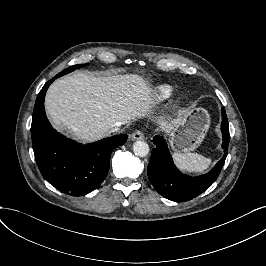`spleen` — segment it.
Returning a JSON list of instances; mask_svg holds the SVG:
<instances>
[{"instance_id":"3e777b00","label":"spleen","mask_w":266,"mask_h":266,"mask_svg":"<svg viewBox=\"0 0 266 266\" xmlns=\"http://www.w3.org/2000/svg\"><path fill=\"white\" fill-rule=\"evenodd\" d=\"M173 159L179 169L187 172L202 173L209 168L211 159L197 153H173Z\"/></svg>"}]
</instances>
